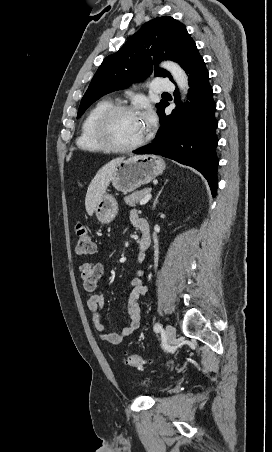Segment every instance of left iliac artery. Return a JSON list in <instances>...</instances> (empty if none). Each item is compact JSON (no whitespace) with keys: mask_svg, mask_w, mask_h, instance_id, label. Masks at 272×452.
Returning a JSON list of instances; mask_svg holds the SVG:
<instances>
[{"mask_svg":"<svg viewBox=\"0 0 272 452\" xmlns=\"http://www.w3.org/2000/svg\"><path fill=\"white\" fill-rule=\"evenodd\" d=\"M161 330H162L161 324L156 323L155 326H154V331H155L156 333H158V332H160Z\"/></svg>","mask_w":272,"mask_h":452,"instance_id":"left-iliac-artery-1","label":"left iliac artery"}]
</instances>
